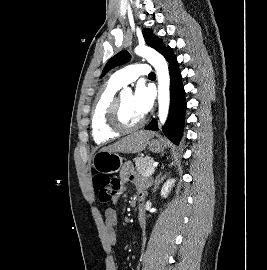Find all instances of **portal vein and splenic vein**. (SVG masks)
Masks as SVG:
<instances>
[{"instance_id":"portal-vein-and-splenic-vein-1","label":"portal vein and splenic vein","mask_w":267,"mask_h":270,"mask_svg":"<svg viewBox=\"0 0 267 270\" xmlns=\"http://www.w3.org/2000/svg\"><path fill=\"white\" fill-rule=\"evenodd\" d=\"M158 163L155 162L152 166V168L145 174V176H150L154 173L155 168L157 167Z\"/></svg>"}]
</instances>
